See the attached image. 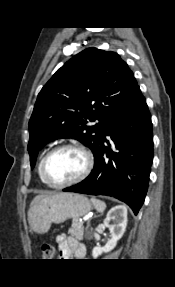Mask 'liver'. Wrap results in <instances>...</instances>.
Instances as JSON below:
<instances>
[{"mask_svg":"<svg viewBox=\"0 0 175 287\" xmlns=\"http://www.w3.org/2000/svg\"><path fill=\"white\" fill-rule=\"evenodd\" d=\"M46 196H48V195H37V196H35L34 197V199L32 200V202H31V207L34 205V204H36V203H38L40 200H42L44 197H46ZM30 207V208H31Z\"/></svg>","mask_w":175,"mask_h":287,"instance_id":"1","label":"liver"}]
</instances>
